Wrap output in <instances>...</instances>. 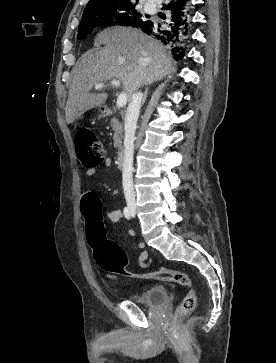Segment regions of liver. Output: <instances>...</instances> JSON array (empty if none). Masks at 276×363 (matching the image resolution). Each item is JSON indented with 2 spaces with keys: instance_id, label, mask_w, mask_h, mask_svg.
I'll list each match as a JSON object with an SVG mask.
<instances>
[{
  "instance_id": "obj_1",
  "label": "liver",
  "mask_w": 276,
  "mask_h": 363,
  "mask_svg": "<svg viewBox=\"0 0 276 363\" xmlns=\"http://www.w3.org/2000/svg\"><path fill=\"white\" fill-rule=\"evenodd\" d=\"M95 43L104 47L85 53L73 70L65 108L67 124L106 101V93L90 92L98 83L121 81L127 99L131 100L140 87L175 72L172 56L162 43L139 29L108 28L97 35Z\"/></svg>"
}]
</instances>
